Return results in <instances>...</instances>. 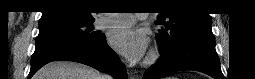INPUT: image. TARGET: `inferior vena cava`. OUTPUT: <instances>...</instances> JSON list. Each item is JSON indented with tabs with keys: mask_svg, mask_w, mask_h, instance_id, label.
<instances>
[{
	"mask_svg": "<svg viewBox=\"0 0 255 79\" xmlns=\"http://www.w3.org/2000/svg\"><path fill=\"white\" fill-rule=\"evenodd\" d=\"M102 79H112V77L110 75H103Z\"/></svg>",
	"mask_w": 255,
	"mask_h": 79,
	"instance_id": "1",
	"label": "inferior vena cava"
}]
</instances>
